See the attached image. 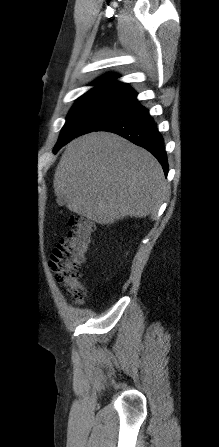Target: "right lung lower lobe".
<instances>
[{
	"label": "right lung lower lobe",
	"mask_w": 219,
	"mask_h": 447,
	"mask_svg": "<svg viewBox=\"0 0 219 447\" xmlns=\"http://www.w3.org/2000/svg\"><path fill=\"white\" fill-rule=\"evenodd\" d=\"M96 131L116 133L134 144L151 152L162 165L165 176L168 173V162L164 148V140L157 125L149 115L148 109L139 106L135 110L104 124ZM56 153L57 150H54Z\"/></svg>",
	"instance_id": "right-lung-lower-lobe-1"
}]
</instances>
